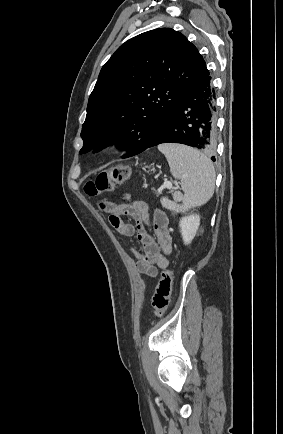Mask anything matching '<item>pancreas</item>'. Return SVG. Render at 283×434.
I'll return each instance as SVG.
<instances>
[{
    "label": "pancreas",
    "instance_id": "cf45deb5",
    "mask_svg": "<svg viewBox=\"0 0 283 434\" xmlns=\"http://www.w3.org/2000/svg\"><path fill=\"white\" fill-rule=\"evenodd\" d=\"M176 195H178L179 197H181V194L179 192H176Z\"/></svg>",
    "mask_w": 283,
    "mask_h": 434
}]
</instances>
